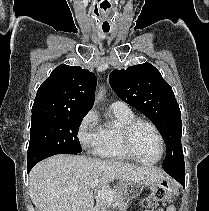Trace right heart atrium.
<instances>
[{
  "mask_svg": "<svg viewBox=\"0 0 209 211\" xmlns=\"http://www.w3.org/2000/svg\"><path fill=\"white\" fill-rule=\"evenodd\" d=\"M77 136L85 150L94 151L101 136V127L95 111L90 110L84 115L79 124Z\"/></svg>",
  "mask_w": 209,
  "mask_h": 211,
  "instance_id": "d8ad5b80",
  "label": "right heart atrium"
}]
</instances>
